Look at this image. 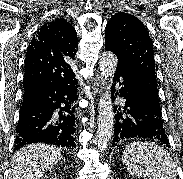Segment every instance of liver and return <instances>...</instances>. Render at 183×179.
Segmentation results:
<instances>
[{
	"instance_id": "6515ba94",
	"label": "liver",
	"mask_w": 183,
	"mask_h": 179,
	"mask_svg": "<svg viewBox=\"0 0 183 179\" xmlns=\"http://www.w3.org/2000/svg\"><path fill=\"white\" fill-rule=\"evenodd\" d=\"M62 158L59 148L44 143L26 145L12 158L9 179H40Z\"/></svg>"
}]
</instances>
